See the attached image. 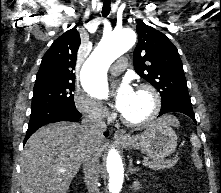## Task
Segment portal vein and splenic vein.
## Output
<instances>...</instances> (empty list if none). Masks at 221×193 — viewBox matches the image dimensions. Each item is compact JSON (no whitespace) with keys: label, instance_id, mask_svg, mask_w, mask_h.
Returning <instances> with one entry per match:
<instances>
[{"label":"portal vein and splenic vein","instance_id":"obj_1","mask_svg":"<svg viewBox=\"0 0 221 193\" xmlns=\"http://www.w3.org/2000/svg\"><path fill=\"white\" fill-rule=\"evenodd\" d=\"M148 165H150L149 162H147V161H144V162H143V166H148ZM60 171H61V172H64L65 170L61 169Z\"/></svg>","mask_w":221,"mask_h":193}]
</instances>
